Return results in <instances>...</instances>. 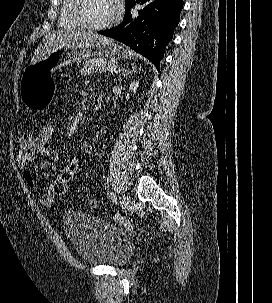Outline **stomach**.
<instances>
[{"label": "stomach", "instance_id": "0dacf381", "mask_svg": "<svg viewBox=\"0 0 272 303\" xmlns=\"http://www.w3.org/2000/svg\"><path fill=\"white\" fill-rule=\"evenodd\" d=\"M131 55L130 50L111 39L92 45L61 48L24 69L20 82L21 100L28 109L44 108L51 102L54 91L53 74L57 69L88 57L117 61L129 59Z\"/></svg>", "mask_w": 272, "mask_h": 303}]
</instances>
